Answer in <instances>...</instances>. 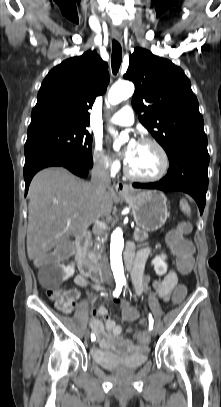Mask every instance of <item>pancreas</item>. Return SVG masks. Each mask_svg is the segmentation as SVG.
<instances>
[{
	"mask_svg": "<svg viewBox=\"0 0 221 407\" xmlns=\"http://www.w3.org/2000/svg\"><path fill=\"white\" fill-rule=\"evenodd\" d=\"M148 239V233L146 231H135L134 240L136 242H143Z\"/></svg>",
	"mask_w": 221,
	"mask_h": 407,
	"instance_id": "pancreas-1",
	"label": "pancreas"
}]
</instances>
